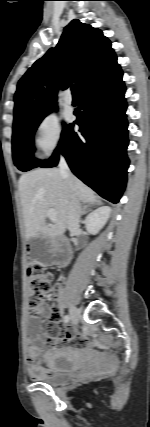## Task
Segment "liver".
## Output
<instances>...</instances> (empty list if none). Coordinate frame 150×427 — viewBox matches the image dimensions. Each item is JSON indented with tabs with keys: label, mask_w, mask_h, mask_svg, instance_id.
Instances as JSON below:
<instances>
[{
	"label": "liver",
	"mask_w": 150,
	"mask_h": 427,
	"mask_svg": "<svg viewBox=\"0 0 150 427\" xmlns=\"http://www.w3.org/2000/svg\"><path fill=\"white\" fill-rule=\"evenodd\" d=\"M72 179L71 188L58 168H39L20 177L19 192L27 240L38 234L51 239L61 236L68 226V209L73 198L90 204L97 201L92 189L79 179ZM49 209L57 212L56 221L51 227L45 224Z\"/></svg>",
	"instance_id": "obj_1"
}]
</instances>
